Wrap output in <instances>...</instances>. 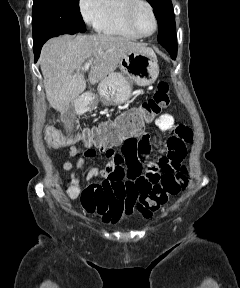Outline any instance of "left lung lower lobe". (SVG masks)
Here are the masks:
<instances>
[{
	"instance_id": "obj_1",
	"label": "left lung lower lobe",
	"mask_w": 240,
	"mask_h": 288,
	"mask_svg": "<svg viewBox=\"0 0 240 288\" xmlns=\"http://www.w3.org/2000/svg\"><path fill=\"white\" fill-rule=\"evenodd\" d=\"M165 48L170 53L172 58L175 59L177 56V48H168V47H165Z\"/></svg>"
}]
</instances>
